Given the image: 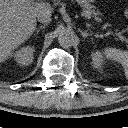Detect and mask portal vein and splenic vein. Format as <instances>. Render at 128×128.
<instances>
[{
  "mask_svg": "<svg viewBox=\"0 0 128 128\" xmlns=\"http://www.w3.org/2000/svg\"><path fill=\"white\" fill-rule=\"evenodd\" d=\"M116 35L119 37L120 40L125 41V42L128 41V39L125 36H123L122 34L117 33Z\"/></svg>",
  "mask_w": 128,
  "mask_h": 128,
  "instance_id": "18ae733b",
  "label": "portal vein and splenic vein"
}]
</instances>
